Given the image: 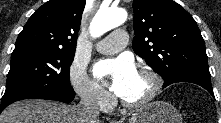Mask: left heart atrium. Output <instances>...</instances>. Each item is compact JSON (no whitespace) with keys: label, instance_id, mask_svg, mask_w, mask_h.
<instances>
[{"label":"left heart atrium","instance_id":"39dd6f15","mask_svg":"<svg viewBox=\"0 0 221 123\" xmlns=\"http://www.w3.org/2000/svg\"><path fill=\"white\" fill-rule=\"evenodd\" d=\"M136 73L132 60L127 57L102 60L93 67L94 76L99 80L109 79L111 90L118 96L122 95Z\"/></svg>","mask_w":221,"mask_h":123}]
</instances>
